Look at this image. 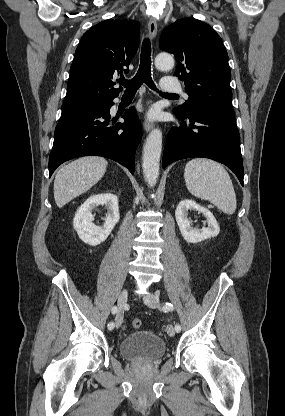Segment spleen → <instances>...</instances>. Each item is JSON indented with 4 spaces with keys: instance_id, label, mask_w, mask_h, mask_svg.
<instances>
[{
    "instance_id": "obj_1",
    "label": "spleen",
    "mask_w": 285,
    "mask_h": 416,
    "mask_svg": "<svg viewBox=\"0 0 285 416\" xmlns=\"http://www.w3.org/2000/svg\"><path fill=\"white\" fill-rule=\"evenodd\" d=\"M184 180L192 196L208 200L224 214H234L237 202L232 180L221 164L206 158L191 160L185 166Z\"/></svg>"
}]
</instances>
